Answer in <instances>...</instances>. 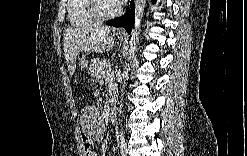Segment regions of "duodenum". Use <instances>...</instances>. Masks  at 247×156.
Listing matches in <instances>:
<instances>
[{
  "label": "duodenum",
  "instance_id": "1",
  "mask_svg": "<svg viewBox=\"0 0 247 156\" xmlns=\"http://www.w3.org/2000/svg\"><path fill=\"white\" fill-rule=\"evenodd\" d=\"M117 114H118L117 107L114 105L113 99H112V103H111L110 110H109V118H110V120L113 121V122L116 121Z\"/></svg>",
  "mask_w": 247,
  "mask_h": 156
}]
</instances>
